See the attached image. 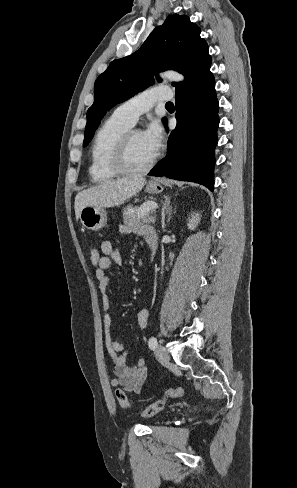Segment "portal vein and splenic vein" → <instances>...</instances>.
Listing matches in <instances>:
<instances>
[{
	"instance_id": "18ae733b",
	"label": "portal vein and splenic vein",
	"mask_w": 297,
	"mask_h": 488,
	"mask_svg": "<svg viewBox=\"0 0 297 488\" xmlns=\"http://www.w3.org/2000/svg\"><path fill=\"white\" fill-rule=\"evenodd\" d=\"M156 208H157V204H155V203H147V204L141 206V211L142 212H147V211L154 210Z\"/></svg>"
}]
</instances>
